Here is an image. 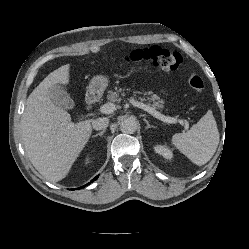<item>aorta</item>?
Here are the masks:
<instances>
[{
  "instance_id": "762f6f07",
  "label": "aorta",
  "mask_w": 249,
  "mask_h": 249,
  "mask_svg": "<svg viewBox=\"0 0 249 249\" xmlns=\"http://www.w3.org/2000/svg\"><path fill=\"white\" fill-rule=\"evenodd\" d=\"M137 129V123L134 119L127 118L120 124V130L126 134H133Z\"/></svg>"
}]
</instances>
